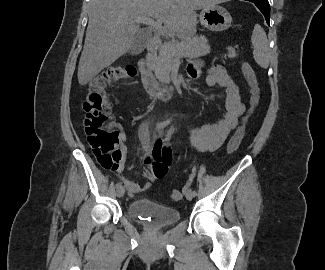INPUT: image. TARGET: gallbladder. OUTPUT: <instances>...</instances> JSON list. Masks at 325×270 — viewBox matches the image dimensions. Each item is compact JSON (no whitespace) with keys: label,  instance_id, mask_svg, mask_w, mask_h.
<instances>
[{"label":"gallbladder","instance_id":"1","mask_svg":"<svg viewBox=\"0 0 325 270\" xmlns=\"http://www.w3.org/2000/svg\"><path fill=\"white\" fill-rule=\"evenodd\" d=\"M152 34L148 30H140L134 37V40L131 44L129 51L132 54H138L142 52L147 43L151 40Z\"/></svg>","mask_w":325,"mask_h":270}]
</instances>
